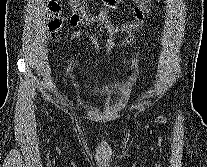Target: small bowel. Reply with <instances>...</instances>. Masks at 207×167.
<instances>
[{
  "mask_svg": "<svg viewBox=\"0 0 207 167\" xmlns=\"http://www.w3.org/2000/svg\"><path fill=\"white\" fill-rule=\"evenodd\" d=\"M73 16L71 18V25H92L95 24L98 28L107 34L106 40V56L113 57L114 36L118 33H124L126 38L123 42L124 47L130 46L135 40L136 32L140 31L144 24V16L150 11V0L139 1L131 10V20L125 23L116 24L112 20L108 9H117L119 1L121 0H104L108 9H105L97 15L90 14L88 11L87 1L68 0ZM85 36L93 44L96 50L99 49L98 39L87 32L75 31L71 34V38Z\"/></svg>",
  "mask_w": 207,
  "mask_h": 167,
  "instance_id": "obj_1",
  "label": "small bowel"
}]
</instances>
